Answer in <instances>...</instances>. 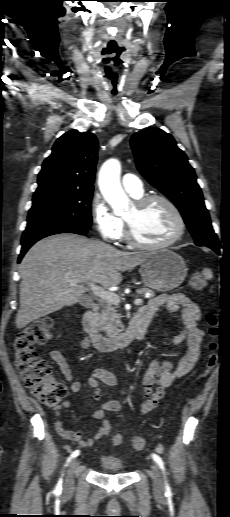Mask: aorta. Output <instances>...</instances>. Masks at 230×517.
<instances>
[{
    "instance_id": "762f6f07",
    "label": "aorta",
    "mask_w": 230,
    "mask_h": 517,
    "mask_svg": "<svg viewBox=\"0 0 230 517\" xmlns=\"http://www.w3.org/2000/svg\"><path fill=\"white\" fill-rule=\"evenodd\" d=\"M121 164L117 159H109L99 172V188L105 200L115 213H122L129 204V198L120 183Z\"/></svg>"
}]
</instances>
